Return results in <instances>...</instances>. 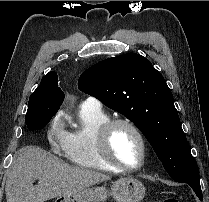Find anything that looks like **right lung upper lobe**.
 Instances as JSON below:
<instances>
[{
  "label": "right lung upper lobe",
  "instance_id": "cb5924a9",
  "mask_svg": "<svg viewBox=\"0 0 209 202\" xmlns=\"http://www.w3.org/2000/svg\"><path fill=\"white\" fill-rule=\"evenodd\" d=\"M44 87L52 88L55 91V98L53 104L60 107L64 99V93L58 87V76L56 72L51 71L42 78L41 83L37 88Z\"/></svg>",
  "mask_w": 209,
  "mask_h": 202
}]
</instances>
